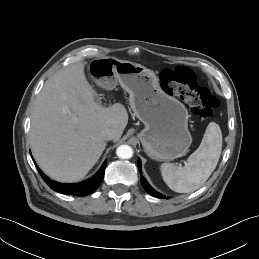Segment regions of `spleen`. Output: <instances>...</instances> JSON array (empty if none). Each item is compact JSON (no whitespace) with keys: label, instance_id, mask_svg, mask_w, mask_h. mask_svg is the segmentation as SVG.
I'll return each instance as SVG.
<instances>
[{"label":"spleen","instance_id":"1","mask_svg":"<svg viewBox=\"0 0 259 259\" xmlns=\"http://www.w3.org/2000/svg\"><path fill=\"white\" fill-rule=\"evenodd\" d=\"M222 150V132L218 124L210 122L198 149L187 159L185 166L163 163L160 171L164 182L178 193L200 188L215 170Z\"/></svg>","mask_w":259,"mask_h":259}]
</instances>
